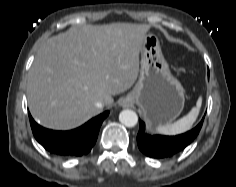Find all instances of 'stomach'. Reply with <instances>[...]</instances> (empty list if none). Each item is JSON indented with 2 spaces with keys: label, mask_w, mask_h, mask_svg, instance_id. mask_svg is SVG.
<instances>
[{
  "label": "stomach",
  "mask_w": 236,
  "mask_h": 187,
  "mask_svg": "<svg viewBox=\"0 0 236 187\" xmlns=\"http://www.w3.org/2000/svg\"><path fill=\"white\" fill-rule=\"evenodd\" d=\"M140 56L138 81L125 100L141 108L148 128L153 130L180 115L185 103L184 89L171 74L156 35L145 36Z\"/></svg>",
  "instance_id": "1"
}]
</instances>
